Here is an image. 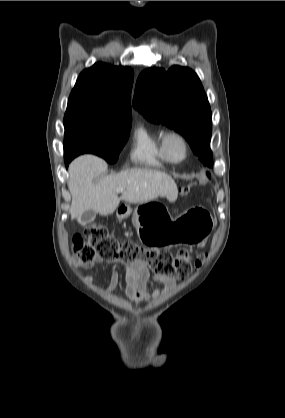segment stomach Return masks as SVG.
<instances>
[{
  "label": "stomach",
  "mask_w": 285,
  "mask_h": 418,
  "mask_svg": "<svg viewBox=\"0 0 285 418\" xmlns=\"http://www.w3.org/2000/svg\"><path fill=\"white\" fill-rule=\"evenodd\" d=\"M145 205L135 209L132 223L139 239L146 244L165 236L170 239V244L192 245L206 240L213 230V219L203 208H192L176 218H166V225L158 213L146 212L143 208ZM131 212L127 206L126 212L118 214V217L127 218Z\"/></svg>",
  "instance_id": "obj_1"
}]
</instances>
